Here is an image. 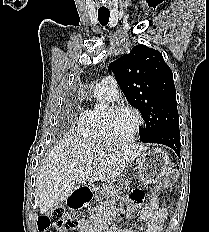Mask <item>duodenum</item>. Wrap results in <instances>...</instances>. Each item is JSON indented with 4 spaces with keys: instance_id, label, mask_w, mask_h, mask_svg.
<instances>
[{
    "instance_id": "duodenum-1",
    "label": "duodenum",
    "mask_w": 209,
    "mask_h": 232,
    "mask_svg": "<svg viewBox=\"0 0 209 232\" xmlns=\"http://www.w3.org/2000/svg\"><path fill=\"white\" fill-rule=\"evenodd\" d=\"M91 196V189L88 186L81 185L74 189L69 197V203L72 208H81L88 203Z\"/></svg>"
}]
</instances>
